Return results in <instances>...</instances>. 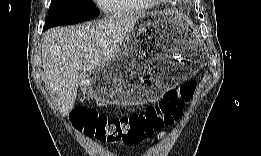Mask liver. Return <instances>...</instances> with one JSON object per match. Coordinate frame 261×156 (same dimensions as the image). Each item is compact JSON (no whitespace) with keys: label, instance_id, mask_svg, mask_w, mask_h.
<instances>
[{"label":"liver","instance_id":"liver-1","mask_svg":"<svg viewBox=\"0 0 261 156\" xmlns=\"http://www.w3.org/2000/svg\"><path fill=\"white\" fill-rule=\"evenodd\" d=\"M140 15H113L94 23L47 30L42 39L46 83L62 117L73 109L86 72L111 60Z\"/></svg>","mask_w":261,"mask_h":156}]
</instances>
